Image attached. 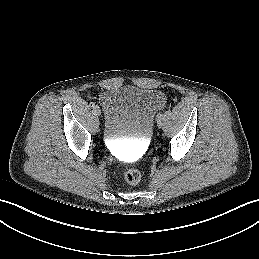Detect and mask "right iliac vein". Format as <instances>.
Segmentation results:
<instances>
[{"instance_id":"obj_1","label":"right iliac vein","mask_w":259,"mask_h":259,"mask_svg":"<svg viewBox=\"0 0 259 259\" xmlns=\"http://www.w3.org/2000/svg\"><path fill=\"white\" fill-rule=\"evenodd\" d=\"M95 113H96L97 115H99V113H100L99 109H96V110H95Z\"/></svg>"}]
</instances>
